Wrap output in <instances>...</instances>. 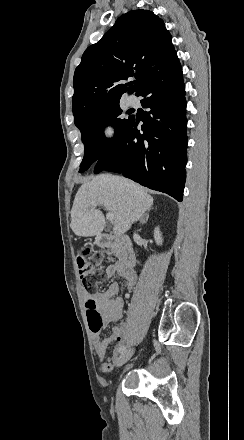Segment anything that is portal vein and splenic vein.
I'll use <instances>...</instances> for the list:
<instances>
[{
	"label": "portal vein and splenic vein",
	"instance_id": "1",
	"mask_svg": "<svg viewBox=\"0 0 244 440\" xmlns=\"http://www.w3.org/2000/svg\"><path fill=\"white\" fill-rule=\"evenodd\" d=\"M97 204H99V202H92V206H97ZM106 218H107L108 222H111V224H113L114 214H106Z\"/></svg>",
	"mask_w": 244,
	"mask_h": 440
}]
</instances>
